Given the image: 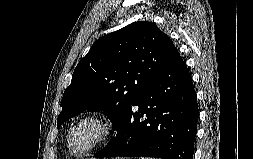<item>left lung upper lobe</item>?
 <instances>
[{"mask_svg":"<svg viewBox=\"0 0 253 159\" xmlns=\"http://www.w3.org/2000/svg\"><path fill=\"white\" fill-rule=\"evenodd\" d=\"M177 53L151 22H134L99 38L74 70L57 128L83 111L103 110L118 130L149 82Z\"/></svg>","mask_w":253,"mask_h":159,"instance_id":"1","label":"left lung upper lobe"}]
</instances>
